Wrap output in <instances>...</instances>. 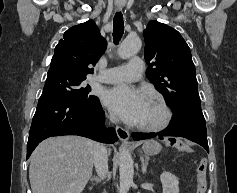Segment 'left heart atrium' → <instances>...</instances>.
I'll use <instances>...</instances> for the list:
<instances>
[{
  "label": "left heart atrium",
  "mask_w": 237,
  "mask_h": 193,
  "mask_svg": "<svg viewBox=\"0 0 237 193\" xmlns=\"http://www.w3.org/2000/svg\"><path fill=\"white\" fill-rule=\"evenodd\" d=\"M147 101L142 91L128 84L109 88L103 95L104 104L130 124L140 122Z\"/></svg>",
  "instance_id": "obj_1"
}]
</instances>
